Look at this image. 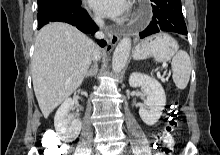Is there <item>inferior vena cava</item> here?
<instances>
[{
    "label": "inferior vena cava",
    "mask_w": 220,
    "mask_h": 155,
    "mask_svg": "<svg viewBox=\"0 0 220 155\" xmlns=\"http://www.w3.org/2000/svg\"><path fill=\"white\" fill-rule=\"evenodd\" d=\"M95 22L99 25L100 28H102L103 25H104V22H103L101 16H96L95 17ZM96 37L97 38H103L104 35L101 31H99V32L96 33ZM99 59H100V51H99V49H95L94 54H93V60L97 61Z\"/></svg>",
    "instance_id": "1"
}]
</instances>
